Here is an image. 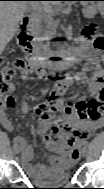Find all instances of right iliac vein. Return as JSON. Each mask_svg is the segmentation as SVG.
I'll return each mask as SVG.
<instances>
[{
	"mask_svg": "<svg viewBox=\"0 0 104 189\" xmlns=\"http://www.w3.org/2000/svg\"><path fill=\"white\" fill-rule=\"evenodd\" d=\"M14 153L19 154L20 153V148L18 146H14Z\"/></svg>",
	"mask_w": 104,
	"mask_h": 189,
	"instance_id": "obj_1",
	"label": "right iliac vein"
}]
</instances>
